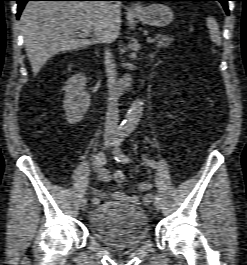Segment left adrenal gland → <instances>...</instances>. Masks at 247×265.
I'll return each instance as SVG.
<instances>
[{
	"mask_svg": "<svg viewBox=\"0 0 247 265\" xmlns=\"http://www.w3.org/2000/svg\"><path fill=\"white\" fill-rule=\"evenodd\" d=\"M153 58H154V54H151V55H150V62L153 61Z\"/></svg>",
	"mask_w": 247,
	"mask_h": 265,
	"instance_id": "1",
	"label": "left adrenal gland"
}]
</instances>
